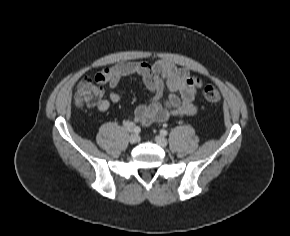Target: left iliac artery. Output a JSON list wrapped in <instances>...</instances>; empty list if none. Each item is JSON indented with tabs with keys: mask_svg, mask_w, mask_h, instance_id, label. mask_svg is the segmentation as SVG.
<instances>
[{
	"mask_svg": "<svg viewBox=\"0 0 290 236\" xmlns=\"http://www.w3.org/2000/svg\"><path fill=\"white\" fill-rule=\"evenodd\" d=\"M160 134L163 136H166L168 134V132H167V130L162 129V130H160Z\"/></svg>",
	"mask_w": 290,
	"mask_h": 236,
	"instance_id": "left-iliac-artery-1",
	"label": "left iliac artery"
}]
</instances>
